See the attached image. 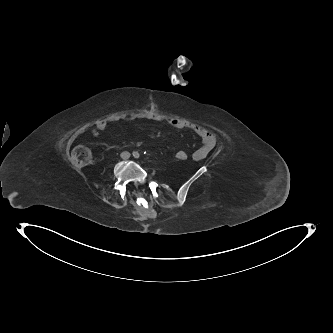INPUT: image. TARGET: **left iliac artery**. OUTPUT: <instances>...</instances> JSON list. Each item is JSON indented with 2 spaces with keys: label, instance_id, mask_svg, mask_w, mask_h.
<instances>
[{
  "label": "left iliac artery",
  "instance_id": "obj_1",
  "mask_svg": "<svg viewBox=\"0 0 333 333\" xmlns=\"http://www.w3.org/2000/svg\"><path fill=\"white\" fill-rule=\"evenodd\" d=\"M133 156H134L135 158H138V157H139V153H138V152H133Z\"/></svg>",
  "mask_w": 333,
  "mask_h": 333
}]
</instances>
